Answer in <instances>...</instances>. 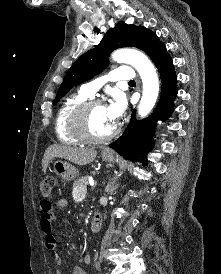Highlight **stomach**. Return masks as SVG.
Segmentation results:
<instances>
[{"mask_svg":"<svg viewBox=\"0 0 221 274\" xmlns=\"http://www.w3.org/2000/svg\"><path fill=\"white\" fill-rule=\"evenodd\" d=\"M102 159L106 162H114L115 157L112 153L102 152ZM54 172L63 180V181H72L77 176V169L70 163L62 160H56L53 163Z\"/></svg>","mask_w":221,"mask_h":274,"instance_id":"1","label":"stomach"}]
</instances>
